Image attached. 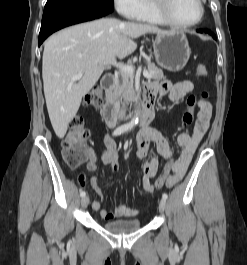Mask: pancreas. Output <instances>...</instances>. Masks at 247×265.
<instances>
[{"label": "pancreas", "instance_id": "cf45deb5", "mask_svg": "<svg viewBox=\"0 0 247 265\" xmlns=\"http://www.w3.org/2000/svg\"><path fill=\"white\" fill-rule=\"evenodd\" d=\"M147 69L152 79L162 80L164 74L161 69L155 66L154 63L146 61ZM114 92L112 94V102L116 107H119L122 99L133 100L134 98V77L132 75H123L121 80L117 79L114 85Z\"/></svg>", "mask_w": 247, "mask_h": 265}]
</instances>
